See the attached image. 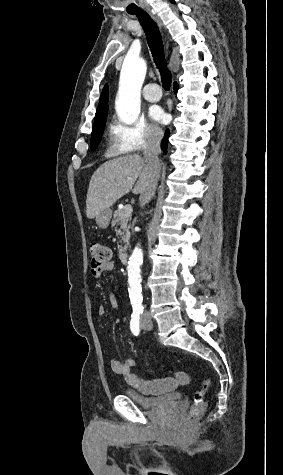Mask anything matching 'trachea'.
Instances as JSON below:
<instances>
[{
    "label": "trachea",
    "mask_w": 283,
    "mask_h": 475,
    "mask_svg": "<svg viewBox=\"0 0 283 475\" xmlns=\"http://www.w3.org/2000/svg\"><path fill=\"white\" fill-rule=\"evenodd\" d=\"M136 15L145 34L148 46L152 53L153 60L161 74L162 86L165 90H170L172 83V74L167 68L162 36L158 26L146 12L130 13Z\"/></svg>",
    "instance_id": "3493384b"
}]
</instances>
